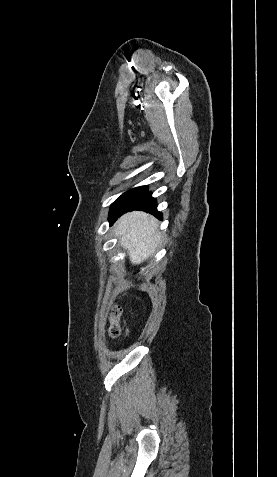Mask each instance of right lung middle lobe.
<instances>
[{
    "label": "right lung middle lobe",
    "mask_w": 277,
    "mask_h": 477,
    "mask_svg": "<svg viewBox=\"0 0 277 477\" xmlns=\"http://www.w3.org/2000/svg\"><path fill=\"white\" fill-rule=\"evenodd\" d=\"M147 191V186H140L133 188L124 194H122L115 202L112 204L109 212V221H115L120 214L129 208L134 202L145 192Z\"/></svg>",
    "instance_id": "dd1d6c3e"
}]
</instances>
